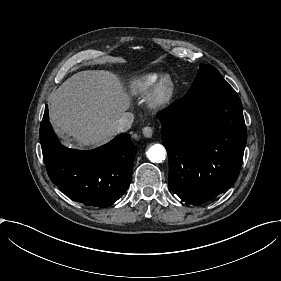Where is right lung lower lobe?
Returning <instances> with one entry per match:
<instances>
[{
	"label": "right lung lower lobe",
	"instance_id": "right-lung-lower-lobe-1",
	"mask_svg": "<svg viewBox=\"0 0 281 281\" xmlns=\"http://www.w3.org/2000/svg\"><path fill=\"white\" fill-rule=\"evenodd\" d=\"M40 141L51 181L72 200L106 208L128 189L137 152L128 134L122 133L95 150L69 149L57 139L46 106Z\"/></svg>",
	"mask_w": 281,
	"mask_h": 281
}]
</instances>
